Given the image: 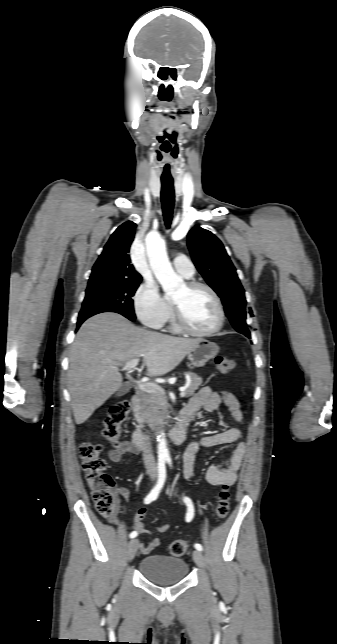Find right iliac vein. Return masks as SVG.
<instances>
[{"instance_id": "obj_1", "label": "right iliac vein", "mask_w": 337, "mask_h": 644, "mask_svg": "<svg viewBox=\"0 0 337 644\" xmlns=\"http://www.w3.org/2000/svg\"><path fill=\"white\" fill-rule=\"evenodd\" d=\"M138 545H139V541L137 539H133L129 542L128 548H127L128 561H132L133 558L135 557L136 552L138 550Z\"/></svg>"}]
</instances>
